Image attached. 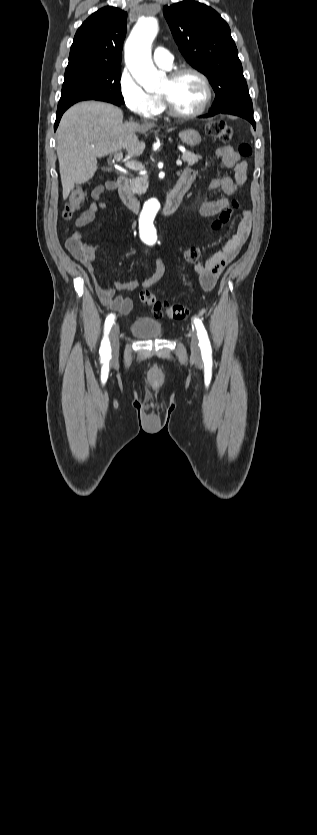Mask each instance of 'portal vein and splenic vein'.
Instances as JSON below:
<instances>
[{"mask_svg": "<svg viewBox=\"0 0 317 835\" xmlns=\"http://www.w3.org/2000/svg\"><path fill=\"white\" fill-rule=\"evenodd\" d=\"M122 158H123V153H122V152H117V153L115 154V159H116L117 161H120ZM176 164H177V166H182V161H181V160H177V161H176ZM125 165H126L128 168H131V169H133V170H143V169H144V166H143L140 162H138V161H136V160H129V161H127V162H126V164H125ZM177 174H180V171H178V172H177Z\"/></svg>", "mask_w": 317, "mask_h": 835, "instance_id": "18ae733b", "label": "portal vein and splenic vein"}]
</instances>
